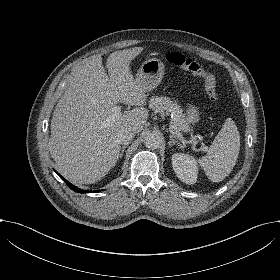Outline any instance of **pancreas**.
<instances>
[{
    "label": "pancreas",
    "instance_id": "1",
    "mask_svg": "<svg viewBox=\"0 0 280 280\" xmlns=\"http://www.w3.org/2000/svg\"><path fill=\"white\" fill-rule=\"evenodd\" d=\"M149 108L154 113L170 110L173 114L171 121L176 123L180 130L188 131L192 127L191 120L185 117L184 109L176 100H171L166 96L152 95L149 99Z\"/></svg>",
    "mask_w": 280,
    "mask_h": 280
}]
</instances>
